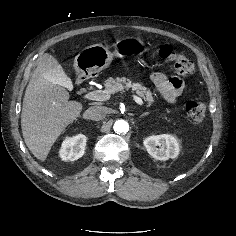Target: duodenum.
<instances>
[{
	"label": "duodenum",
	"instance_id": "1",
	"mask_svg": "<svg viewBox=\"0 0 236 236\" xmlns=\"http://www.w3.org/2000/svg\"><path fill=\"white\" fill-rule=\"evenodd\" d=\"M83 83H84V79H83V78H79V79L77 80V86H78V87H81V86L83 85Z\"/></svg>",
	"mask_w": 236,
	"mask_h": 236
}]
</instances>
